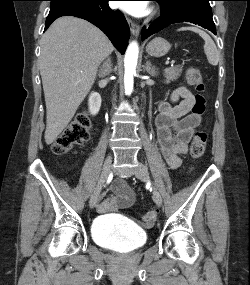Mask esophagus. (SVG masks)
Wrapping results in <instances>:
<instances>
[{
    "mask_svg": "<svg viewBox=\"0 0 250 285\" xmlns=\"http://www.w3.org/2000/svg\"><path fill=\"white\" fill-rule=\"evenodd\" d=\"M129 26H130V31L131 34L135 37L139 35L140 32V26L139 24L133 22L131 19L128 20Z\"/></svg>",
    "mask_w": 250,
    "mask_h": 285,
    "instance_id": "34e87169",
    "label": "esophagus"
}]
</instances>
